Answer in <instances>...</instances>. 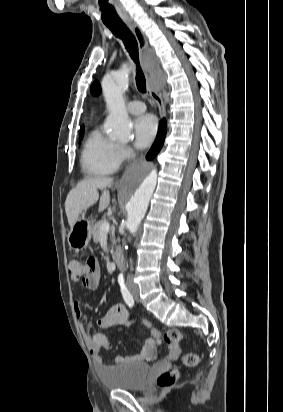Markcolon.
Segmentation results:
<instances>
[{
    "label": "colon",
    "instance_id": "5ec220e1",
    "mask_svg": "<svg viewBox=\"0 0 283 412\" xmlns=\"http://www.w3.org/2000/svg\"><path fill=\"white\" fill-rule=\"evenodd\" d=\"M98 263L94 257H89L85 262L79 259H71L68 262V271L72 279L81 280L87 274L94 272L97 269ZM157 343L178 344L185 339V336L176 329H170L161 333L156 337ZM198 363V356L195 353H187L183 357V364L186 366H195ZM179 375V369L172 367L168 371L161 374L157 379V385L161 389H165L174 384Z\"/></svg>",
    "mask_w": 283,
    "mask_h": 412
}]
</instances>
